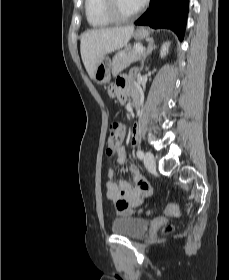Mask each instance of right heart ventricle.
<instances>
[{
    "instance_id": "right-heart-ventricle-1",
    "label": "right heart ventricle",
    "mask_w": 229,
    "mask_h": 280,
    "mask_svg": "<svg viewBox=\"0 0 229 280\" xmlns=\"http://www.w3.org/2000/svg\"><path fill=\"white\" fill-rule=\"evenodd\" d=\"M104 0H85L84 11L88 24L93 28H107L114 22L103 12Z\"/></svg>"
}]
</instances>
